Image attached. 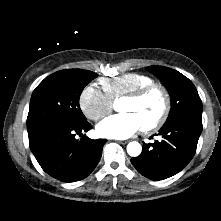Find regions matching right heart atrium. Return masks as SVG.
<instances>
[{
	"label": "right heart atrium",
	"instance_id": "right-heart-atrium-1",
	"mask_svg": "<svg viewBox=\"0 0 221 221\" xmlns=\"http://www.w3.org/2000/svg\"><path fill=\"white\" fill-rule=\"evenodd\" d=\"M79 106L89 120L99 121L112 111L113 101L95 85L89 84L80 93Z\"/></svg>",
	"mask_w": 221,
	"mask_h": 221
}]
</instances>
